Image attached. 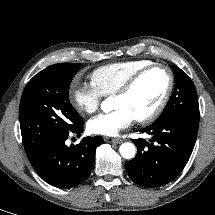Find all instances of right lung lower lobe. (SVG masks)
<instances>
[{
    "label": "right lung lower lobe",
    "instance_id": "right-lung-lower-lobe-1",
    "mask_svg": "<svg viewBox=\"0 0 215 215\" xmlns=\"http://www.w3.org/2000/svg\"><path fill=\"white\" fill-rule=\"evenodd\" d=\"M81 120L71 131L56 137L27 153L37 174L58 188H70L81 183L90 173L101 136L85 137L78 145L66 146L69 133H82Z\"/></svg>",
    "mask_w": 215,
    "mask_h": 215
}]
</instances>
